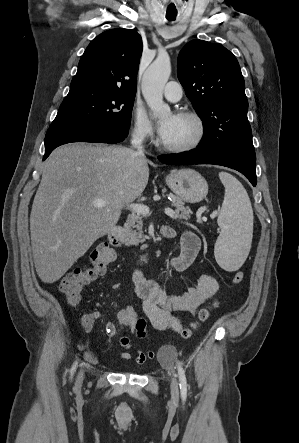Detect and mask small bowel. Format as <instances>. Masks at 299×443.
<instances>
[{
	"instance_id": "c3829d8e",
	"label": "small bowel",
	"mask_w": 299,
	"mask_h": 443,
	"mask_svg": "<svg viewBox=\"0 0 299 443\" xmlns=\"http://www.w3.org/2000/svg\"><path fill=\"white\" fill-rule=\"evenodd\" d=\"M165 232V238H173L175 230L170 226L162 227ZM200 249V239L192 231H186L182 235L180 252L178 255L170 259V267L173 271L182 272L188 269L195 261ZM132 281L135 286V292L142 302L143 328L137 336L138 339L146 337L147 320L151 326L159 331L180 332L182 330V322L177 313L195 315L199 307L207 300L212 298L218 291L219 285L217 280L209 275L203 274L199 278L196 286L188 288L182 293H169L161 288L158 282L147 278L143 271L134 268L132 271ZM101 313L92 312L86 316L90 326L91 323L99 319ZM108 336L117 334V326L113 322H108L105 326ZM123 351L120 357L126 360L134 359L137 364H144L147 360L155 358V352L152 350L134 349L128 336H122L119 340ZM90 360L95 357L91 352L87 353Z\"/></svg>"
}]
</instances>
